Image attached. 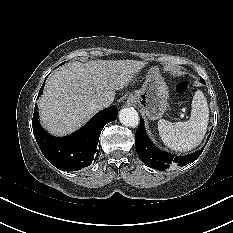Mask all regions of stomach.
I'll return each mask as SVG.
<instances>
[{"instance_id": "0dacf381", "label": "stomach", "mask_w": 233, "mask_h": 233, "mask_svg": "<svg viewBox=\"0 0 233 233\" xmlns=\"http://www.w3.org/2000/svg\"><path fill=\"white\" fill-rule=\"evenodd\" d=\"M168 87L157 67H152L140 90L131 93L128 101L137 104L150 120L160 119L168 107Z\"/></svg>"}]
</instances>
